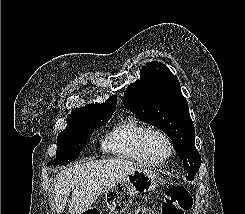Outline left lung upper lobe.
I'll use <instances>...</instances> for the list:
<instances>
[{
	"label": "left lung upper lobe",
	"instance_id": "obj_1",
	"mask_svg": "<svg viewBox=\"0 0 245 214\" xmlns=\"http://www.w3.org/2000/svg\"><path fill=\"white\" fill-rule=\"evenodd\" d=\"M121 99L141 120L167 134L188 176H194L201 157L194 145V125L177 77L164 64L149 62L140 70V80L130 84Z\"/></svg>",
	"mask_w": 245,
	"mask_h": 214
}]
</instances>
